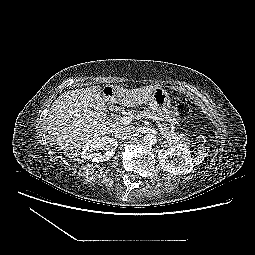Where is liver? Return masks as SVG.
I'll use <instances>...</instances> for the list:
<instances>
[{
	"label": "liver",
	"mask_w": 255,
	"mask_h": 255,
	"mask_svg": "<svg viewBox=\"0 0 255 255\" xmlns=\"http://www.w3.org/2000/svg\"><path fill=\"white\" fill-rule=\"evenodd\" d=\"M154 86L136 89L114 87L105 96L99 86L62 93L52 104L46 126L49 142L69 156L79 155L81 146L91 139L114 132L116 125L101 117L106 107L113 110L147 103ZM118 104V106H116Z\"/></svg>",
	"instance_id": "obj_1"
}]
</instances>
